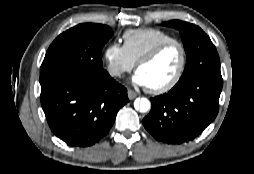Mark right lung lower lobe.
I'll return each mask as SVG.
<instances>
[{
	"mask_svg": "<svg viewBox=\"0 0 254 174\" xmlns=\"http://www.w3.org/2000/svg\"><path fill=\"white\" fill-rule=\"evenodd\" d=\"M40 100L52 132L71 146L87 147L106 136L127 89L106 72L41 89Z\"/></svg>",
	"mask_w": 254,
	"mask_h": 174,
	"instance_id": "1",
	"label": "right lung lower lobe"
}]
</instances>
